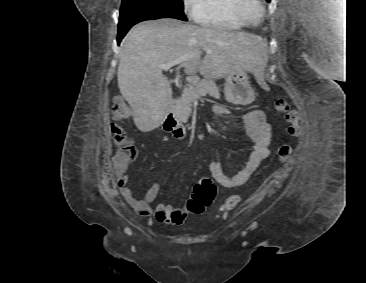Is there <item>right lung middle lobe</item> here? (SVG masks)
Returning <instances> with one entry per match:
<instances>
[{"instance_id": "dd1d6c3e", "label": "right lung middle lobe", "mask_w": 366, "mask_h": 283, "mask_svg": "<svg viewBox=\"0 0 366 283\" xmlns=\"http://www.w3.org/2000/svg\"><path fill=\"white\" fill-rule=\"evenodd\" d=\"M175 18L187 21L182 0H122L119 22L131 19Z\"/></svg>"}]
</instances>
